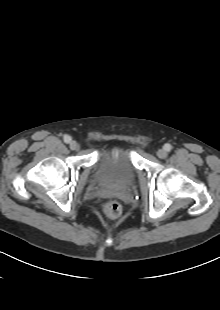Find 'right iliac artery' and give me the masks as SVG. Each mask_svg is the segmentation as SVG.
Wrapping results in <instances>:
<instances>
[{
  "label": "right iliac artery",
  "instance_id": "right-iliac-artery-1",
  "mask_svg": "<svg viewBox=\"0 0 220 310\" xmlns=\"http://www.w3.org/2000/svg\"><path fill=\"white\" fill-rule=\"evenodd\" d=\"M71 140H72V139H71V137H70L69 135H65V136H64V142H65V143H70Z\"/></svg>",
  "mask_w": 220,
  "mask_h": 310
}]
</instances>
